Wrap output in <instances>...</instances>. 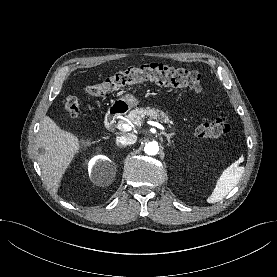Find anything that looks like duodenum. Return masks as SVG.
Returning <instances> with one entry per match:
<instances>
[{"instance_id":"obj_1","label":"duodenum","mask_w":277,"mask_h":277,"mask_svg":"<svg viewBox=\"0 0 277 277\" xmlns=\"http://www.w3.org/2000/svg\"><path fill=\"white\" fill-rule=\"evenodd\" d=\"M121 112L122 109L119 107L112 108L104 118V125L106 127H111L115 123Z\"/></svg>"}]
</instances>
